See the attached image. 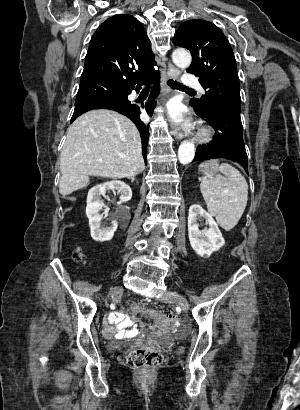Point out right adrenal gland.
Instances as JSON below:
<instances>
[{"instance_id":"1","label":"right adrenal gland","mask_w":300,"mask_h":410,"mask_svg":"<svg viewBox=\"0 0 300 410\" xmlns=\"http://www.w3.org/2000/svg\"><path fill=\"white\" fill-rule=\"evenodd\" d=\"M128 179H131V182H132V183H134V181H135V177H134V176L128 177Z\"/></svg>"}]
</instances>
